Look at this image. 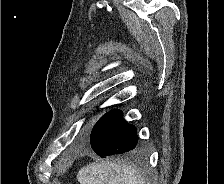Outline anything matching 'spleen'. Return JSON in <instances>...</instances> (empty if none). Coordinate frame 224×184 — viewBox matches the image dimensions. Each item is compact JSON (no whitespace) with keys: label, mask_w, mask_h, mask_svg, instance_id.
Here are the masks:
<instances>
[{"label":"spleen","mask_w":224,"mask_h":184,"mask_svg":"<svg viewBox=\"0 0 224 184\" xmlns=\"http://www.w3.org/2000/svg\"><path fill=\"white\" fill-rule=\"evenodd\" d=\"M77 180L80 184H145L135 168L109 161L81 168Z\"/></svg>","instance_id":"1"}]
</instances>
